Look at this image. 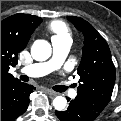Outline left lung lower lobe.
Masks as SVG:
<instances>
[{
  "instance_id": "left-lung-lower-lobe-1",
  "label": "left lung lower lobe",
  "mask_w": 121,
  "mask_h": 121,
  "mask_svg": "<svg viewBox=\"0 0 121 121\" xmlns=\"http://www.w3.org/2000/svg\"><path fill=\"white\" fill-rule=\"evenodd\" d=\"M55 113L61 121H93L100 114L75 100L70 101L66 111H55Z\"/></svg>"
}]
</instances>
